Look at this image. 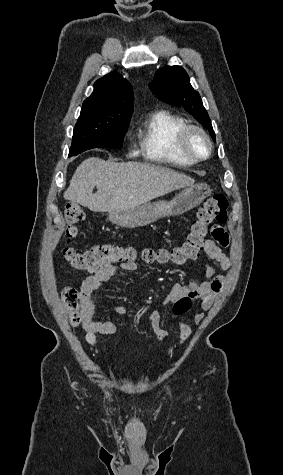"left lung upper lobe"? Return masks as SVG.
I'll list each match as a JSON object with an SVG mask.
<instances>
[{
  "instance_id": "1",
  "label": "left lung upper lobe",
  "mask_w": 283,
  "mask_h": 475,
  "mask_svg": "<svg viewBox=\"0 0 283 475\" xmlns=\"http://www.w3.org/2000/svg\"><path fill=\"white\" fill-rule=\"evenodd\" d=\"M151 91L161 101L183 107L193 115L215 140L211 120L205 110L201 97L193 89L186 71L179 66H165L155 73L153 83L149 84Z\"/></svg>"
}]
</instances>
